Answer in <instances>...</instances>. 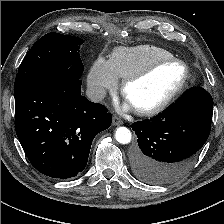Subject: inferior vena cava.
<instances>
[{"label":"inferior vena cava","mask_w":224,"mask_h":224,"mask_svg":"<svg viewBox=\"0 0 224 224\" xmlns=\"http://www.w3.org/2000/svg\"><path fill=\"white\" fill-rule=\"evenodd\" d=\"M86 95L90 101L100 102L105 98L106 91L100 86H90L86 90Z\"/></svg>","instance_id":"1"}]
</instances>
